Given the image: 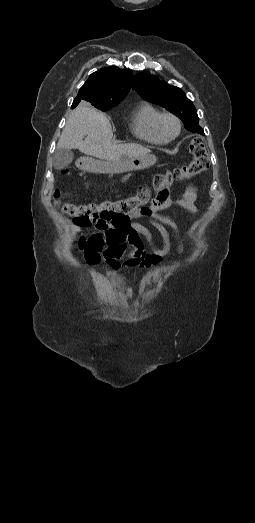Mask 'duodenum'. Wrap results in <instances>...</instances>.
I'll return each instance as SVG.
<instances>
[{"mask_svg":"<svg viewBox=\"0 0 255 523\" xmlns=\"http://www.w3.org/2000/svg\"><path fill=\"white\" fill-rule=\"evenodd\" d=\"M81 166L84 168V169H88L90 167V161L87 160V159H83L81 161Z\"/></svg>","mask_w":255,"mask_h":523,"instance_id":"1","label":"duodenum"}]
</instances>
